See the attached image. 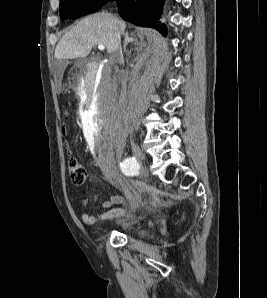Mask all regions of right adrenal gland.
Here are the masks:
<instances>
[{
    "label": "right adrenal gland",
    "mask_w": 267,
    "mask_h": 298,
    "mask_svg": "<svg viewBox=\"0 0 267 298\" xmlns=\"http://www.w3.org/2000/svg\"><path fill=\"white\" fill-rule=\"evenodd\" d=\"M133 41H134V39L129 36V33L128 32L125 33V40H124V46H123L124 52L126 51L127 44L130 42H133Z\"/></svg>",
    "instance_id": "2a0ac1e0"
}]
</instances>
